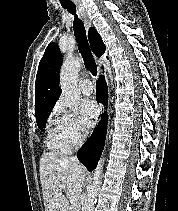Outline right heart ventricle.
I'll list each match as a JSON object with an SVG mask.
<instances>
[{
	"mask_svg": "<svg viewBox=\"0 0 178 211\" xmlns=\"http://www.w3.org/2000/svg\"><path fill=\"white\" fill-rule=\"evenodd\" d=\"M46 143L50 149L57 152H66L69 149L68 145L62 138L54 119H52L48 125Z\"/></svg>",
	"mask_w": 178,
	"mask_h": 211,
	"instance_id": "e07e8e85",
	"label": "right heart ventricle"
}]
</instances>
